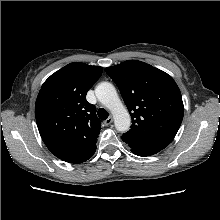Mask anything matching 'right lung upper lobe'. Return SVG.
I'll list each match as a JSON object with an SVG mask.
<instances>
[{
    "label": "right lung upper lobe",
    "mask_w": 220,
    "mask_h": 220,
    "mask_svg": "<svg viewBox=\"0 0 220 220\" xmlns=\"http://www.w3.org/2000/svg\"><path fill=\"white\" fill-rule=\"evenodd\" d=\"M102 67L73 62L42 85L35 105L39 133L59 159L82 163L96 150L100 121L86 94L102 74Z\"/></svg>",
    "instance_id": "right-lung-upper-lobe-1"
}]
</instances>
